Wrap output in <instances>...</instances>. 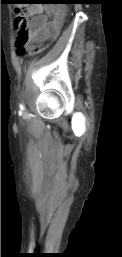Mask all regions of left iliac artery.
<instances>
[{
    "instance_id": "obj_1",
    "label": "left iliac artery",
    "mask_w": 122,
    "mask_h": 257,
    "mask_svg": "<svg viewBox=\"0 0 122 257\" xmlns=\"http://www.w3.org/2000/svg\"><path fill=\"white\" fill-rule=\"evenodd\" d=\"M20 108L23 109V105H20Z\"/></svg>"
}]
</instances>
